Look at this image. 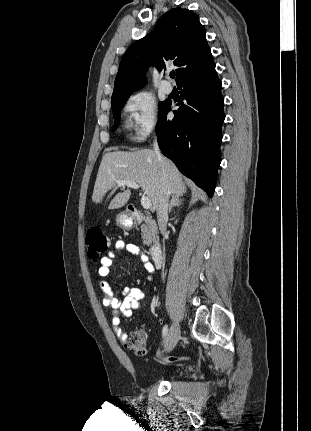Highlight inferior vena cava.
Segmentation results:
<instances>
[{"mask_svg":"<svg viewBox=\"0 0 311 431\" xmlns=\"http://www.w3.org/2000/svg\"><path fill=\"white\" fill-rule=\"evenodd\" d=\"M153 152H155L159 162H162V154L159 150L158 140H153ZM160 190L158 194V204L156 208L157 221L161 233H166L167 219H168V208H169V188L166 182V172L161 170Z\"/></svg>","mask_w":311,"mask_h":431,"instance_id":"obj_1","label":"inferior vena cava"}]
</instances>
